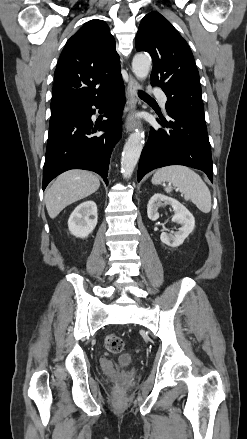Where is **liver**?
Segmentation results:
<instances>
[{"instance_id": "liver-1", "label": "liver", "mask_w": 247, "mask_h": 439, "mask_svg": "<svg viewBox=\"0 0 247 439\" xmlns=\"http://www.w3.org/2000/svg\"><path fill=\"white\" fill-rule=\"evenodd\" d=\"M99 186L100 181L92 172L74 169L62 173L45 193L50 218H56L66 206L90 196Z\"/></svg>"}]
</instances>
